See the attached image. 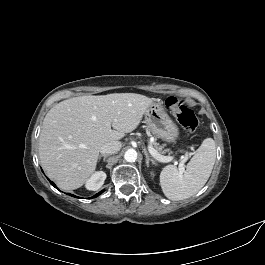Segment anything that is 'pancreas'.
<instances>
[{
    "instance_id": "1",
    "label": "pancreas",
    "mask_w": 265,
    "mask_h": 265,
    "mask_svg": "<svg viewBox=\"0 0 265 265\" xmlns=\"http://www.w3.org/2000/svg\"><path fill=\"white\" fill-rule=\"evenodd\" d=\"M153 147L158 153L163 154V153L169 152V150H163V146H160L157 142L153 143Z\"/></svg>"
}]
</instances>
